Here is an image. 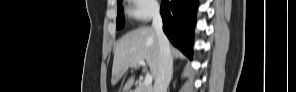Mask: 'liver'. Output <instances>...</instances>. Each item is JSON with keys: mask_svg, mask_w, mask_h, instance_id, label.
Masks as SVG:
<instances>
[{"mask_svg": "<svg viewBox=\"0 0 296 92\" xmlns=\"http://www.w3.org/2000/svg\"><path fill=\"white\" fill-rule=\"evenodd\" d=\"M139 60L147 62L152 77L156 79L159 71V42L153 27L135 29L119 40L114 51L112 84L116 83L128 67L137 70ZM134 80V75L127 80L123 92L131 89Z\"/></svg>", "mask_w": 296, "mask_h": 92, "instance_id": "obj_1", "label": "liver"}]
</instances>
